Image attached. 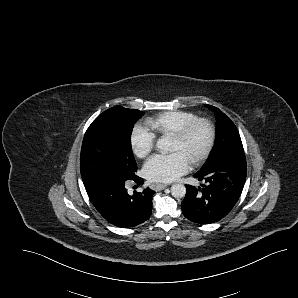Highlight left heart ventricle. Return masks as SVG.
<instances>
[{"mask_svg": "<svg viewBox=\"0 0 298 298\" xmlns=\"http://www.w3.org/2000/svg\"><path fill=\"white\" fill-rule=\"evenodd\" d=\"M203 140V128L198 126L182 139L162 141L161 146L163 151L178 152L182 158L189 163L190 159L201 148Z\"/></svg>", "mask_w": 298, "mask_h": 298, "instance_id": "obj_1", "label": "left heart ventricle"}]
</instances>
